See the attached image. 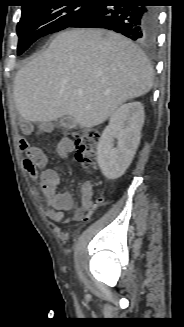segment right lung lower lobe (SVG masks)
Returning <instances> with one entry per match:
<instances>
[{"mask_svg": "<svg viewBox=\"0 0 184 327\" xmlns=\"http://www.w3.org/2000/svg\"><path fill=\"white\" fill-rule=\"evenodd\" d=\"M146 0H125L123 5L100 2L70 27L105 28L142 44L154 43L158 31L157 11L144 6Z\"/></svg>", "mask_w": 184, "mask_h": 327, "instance_id": "obj_1", "label": "right lung lower lobe"}]
</instances>
